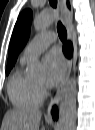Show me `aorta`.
Listing matches in <instances>:
<instances>
[{"instance_id": "aorta-1", "label": "aorta", "mask_w": 95, "mask_h": 130, "mask_svg": "<svg viewBox=\"0 0 95 130\" xmlns=\"http://www.w3.org/2000/svg\"><path fill=\"white\" fill-rule=\"evenodd\" d=\"M55 10H45L37 15L33 20V27L36 31H41L49 26L57 17ZM41 66L37 59L30 65L32 74H39ZM76 100H77V80L74 77L68 79L63 87L59 105V130H75L76 128Z\"/></svg>"}]
</instances>
